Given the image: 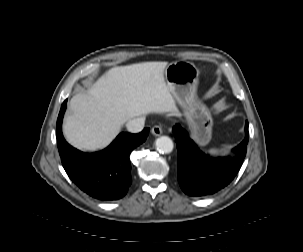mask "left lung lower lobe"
Returning a JSON list of instances; mask_svg holds the SVG:
<instances>
[{
  "instance_id": "0a47b994",
  "label": "left lung lower lobe",
  "mask_w": 303,
  "mask_h": 252,
  "mask_svg": "<svg viewBox=\"0 0 303 252\" xmlns=\"http://www.w3.org/2000/svg\"><path fill=\"white\" fill-rule=\"evenodd\" d=\"M248 121L244 140L233 149V158H212L199 150L179 125L173 127L178 151L177 178L182 190L191 196L213 194L227 186L240 170L249 138Z\"/></svg>"
}]
</instances>
